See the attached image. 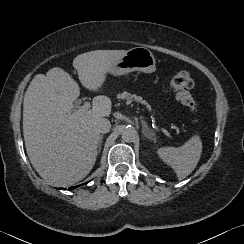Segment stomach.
Returning a JSON list of instances; mask_svg holds the SVG:
<instances>
[{"instance_id": "1", "label": "stomach", "mask_w": 244, "mask_h": 244, "mask_svg": "<svg viewBox=\"0 0 244 244\" xmlns=\"http://www.w3.org/2000/svg\"><path fill=\"white\" fill-rule=\"evenodd\" d=\"M156 69V59L153 53L145 47H134L113 65L109 73L114 76L125 75L133 71L152 73Z\"/></svg>"}]
</instances>
